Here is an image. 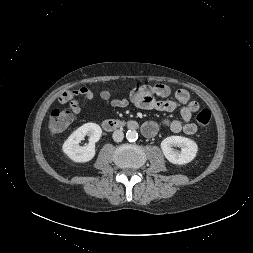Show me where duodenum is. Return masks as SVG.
<instances>
[{"mask_svg":"<svg viewBox=\"0 0 253 253\" xmlns=\"http://www.w3.org/2000/svg\"><path fill=\"white\" fill-rule=\"evenodd\" d=\"M103 128L106 131H114L118 129L127 128L130 130H137L139 128V124L135 120H118V119H106L103 121Z\"/></svg>","mask_w":253,"mask_h":253,"instance_id":"1","label":"duodenum"}]
</instances>
